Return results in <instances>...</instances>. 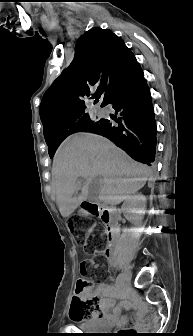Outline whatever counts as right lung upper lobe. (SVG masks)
I'll use <instances>...</instances> for the list:
<instances>
[{
  "label": "right lung upper lobe",
  "instance_id": "right-lung-upper-lobe-1",
  "mask_svg": "<svg viewBox=\"0 0 193 336\" xmlns=\"http://www.w3.org/2000/svg\"><path fill=\"white\" fill-rule=\"evenodd\" d=\"M75 58L43 96L40 118L45 140L63 134L86 113L84 99L103 96L112 89L136 62L123 40L110 30L93 28L81 36L75 47ZM98 93V94H97Z\"/></svg>",
  "mask_w": 193,
  "mask_h": 336
}]
</instances>
